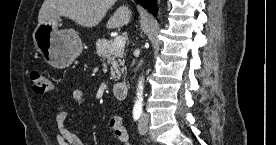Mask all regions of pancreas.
<instances>
[{"instance_id": "1", "label": "pancreas", "mask_w": 276, "mask_h": 145, "mask_svg": "<svg viewBox=\"0 0 276 145\" xmlns=\"http://www.w3.org/2000/svg\"><path fill=\"white\" fill-rule=\"evenodd\" d=\"M112 41L106 39H98L96 42L97 54L101 60L107 59L108 63L111 65L110 73L112 79L119 80L121 76L120 69L124 70L125 61L124 57V47L114 48L112 47Z\"/></svg>"}]
</instances>
